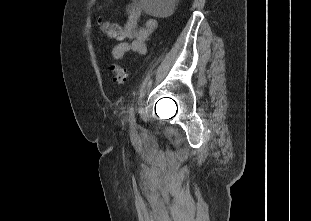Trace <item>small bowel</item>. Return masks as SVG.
Segmentation results:
<instances>
[{
	"label": "small bowel",
	"mask_w": 311,
	"mask_h": 221,
	"mask_svg": "<svg viewBox=\"0 0 311 221\" xmlns=\"http://www.w3.org/2000/svg\"><path fill=\"white\" fill-rule=\"evenodd\" d=\"M125 13L128 18L122 28V33L123 38L127 40L118 43L113 48L112 56L115 60H120L127 54H145V42L157 28V20L154 17L147 18L143 26L138 25L142 13V7L138 1L130 3L125 9Z\"/></svg>",
	"instance_id": "small-bowel-1"
}]
</instances>
